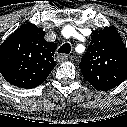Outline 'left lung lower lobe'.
Returning a JSON list of instances; mask_svg holds the SVG:
<instances>
[{
	"instance_id": "obj_1",
	"label": "left lung lower lobe",
	"mask_w": 127,
	"mask_h": 127,
	"mask_svg": "<svg viewBox=\"0 0 127 127\" xmlns=\"http://www.w3.org/2000/svg\"><path fill=\"white\" fill-rule=\"evenodd\" d=\"M96 89H98V90H102V91H106V90H108V89H105V88H96Z\"/></svg>"
}]
</instances>
